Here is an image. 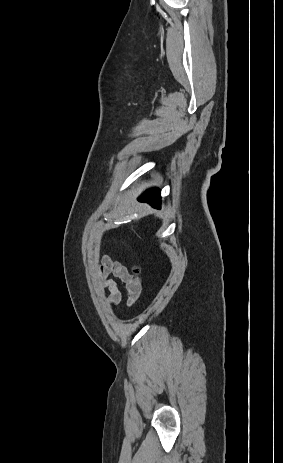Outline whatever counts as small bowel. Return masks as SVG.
Here are the masks:
<instances>
[{
  "instance_id": "small-bowel-1",
  "label": "small bowel",
  "mask_w": 283,
  "mask_h": 463,
  "mask_svg": "<svg viewBox=\"0 0 283 463\" xmlns=\"http://www.w3.org/2000/svg\"><path fill=\"white\" fill-rule=\"evenodd\" d=\"M111 275L126 284V288L128 290V303H133L135 301L137 286L132 281L131 274L121 263L113 261L108 255H104L101 260L99 277L101 281V288L109 292L105 300L106 306L113 308L122 300V293L116 280L110 277Z\"/></svg>"
}]
</instances>
